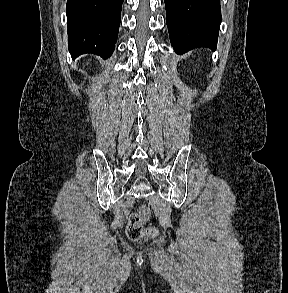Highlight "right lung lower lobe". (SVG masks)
<instances>
[{
	"label": "right lung lower lobe",
	"instance_id": "98d812e1",
	"mask_svg": "<svg viewBox=\"0 0 288 293\" xmlns=\"http://www.w3.org/2000/svg\"><path fill=\"white\" fill-rule=\"evenodd\" d=\"M124 0H67L68 47L72 58L114 51Z\"/></svg>",
	"mask_w": 288,
	"mask_h": 293
}]
</instances>
